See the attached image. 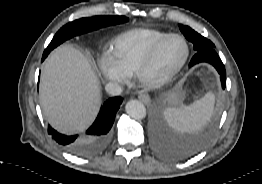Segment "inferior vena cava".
<instances>
[{
	"label": "inferior vena cava",
	"mask_w": 262,
	"mask_h": 184,
	"mask_svg": "<svg viewBox=\"0 0 262 184\" xmlns=\"http://www.w3.org/2000/svg\"><path fill=\"white\" fill-rule=\"evenodd\" d=\"M105 90L109 95L116 96L122 93V88L119 84L109 82L105 85Z\"/></svg>",
	"instance_id": "inferior-vena-cava-1"
}]
</instances>
